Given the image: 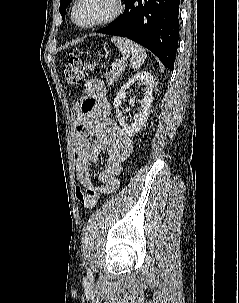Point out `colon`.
I'll return each mask as SVG.
<instances>
[{"label":"colon","instance_id":"5ec220e1","mask_svg":"<svg viewBox=\"0 0 239 303\" xmlns=\"http://www.w3.org/2000/svg\"><path fill=\"white\" fill-rule=\"evenodd\" d=\"M90 67V64L83 59L70 58L63 65L64 82L67 85L81 83L85 79ZM75 195L80 204L87 209L95 207L99 198L95 187H88L85 190L77 187Z\"/></svg>","mask_w":239,"mask_h":303}]
</instances>
